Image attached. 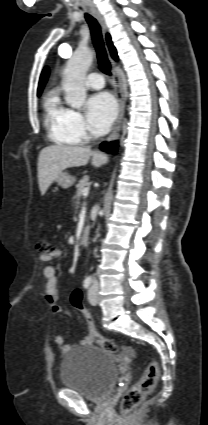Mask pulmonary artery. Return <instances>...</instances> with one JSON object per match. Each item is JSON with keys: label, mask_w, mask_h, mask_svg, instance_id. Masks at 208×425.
<instances>
[{"label": "pulmonary artery", "mask_w": 208, "mask_h": 425, "mask_svg": "<svg viewBox=\"0 0 208 425\" xmlns=\"http://www.w3.org/2000/svg\"><path fill=\"white\" fill-rule=\"evenodd\" d=\"M105 85L104 78L100 73L93 72L87 76L86 86L91 89H101Z\"/></svg>", "instance_id": "pulmonary-artery-1"}]
</instances>
